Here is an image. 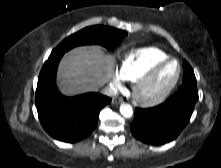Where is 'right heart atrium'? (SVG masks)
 <instances>
[{
    "instance_id": "right-heart-atrium-1",
    "label": "right heart atrium",
    "mask_w": 221,
    "mask_h": 168,
    "mask_svg": "<svg viewBox=\"0 0 221 168\" xmlns=\"http://www.w3.org/2000/svg\"><path fill=\"white\" fill-rule=\"evenodd\" d=\"M124 78L120 74V72L116 71L111 80V87L114 91H117L122 88Z\"/></svg>"
}]
</instances>
